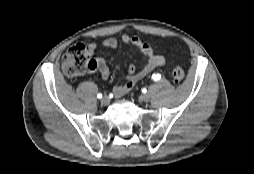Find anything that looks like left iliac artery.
I'll list each match as a JSON object with an SVG mask.
<instances>
[{"label": "left iliac artery", "instance_id": "44dca946", "mask_svg": "<svg viewBox=\"0 0 254 174\" xmlns=\"http://www.w3.org/2000/svg\"><path fill=\"white\" fill-rule=\"evenodd\" d=\"M152 79H153L154 81H158V80L161 79V75H160V74H153V75H152Z\"/></svg>", "mask_w": 254, "mask_h": 174}]
</instances>
